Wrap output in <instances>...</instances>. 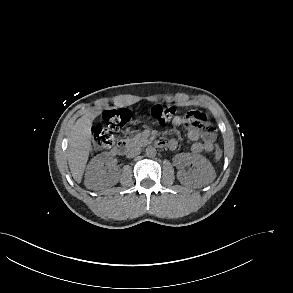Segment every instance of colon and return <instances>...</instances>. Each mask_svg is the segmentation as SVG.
Returning <instances> with one entry per match:
<instances>
[{
  "mask_svg": "<svg viewBox=\"0 0 293 293\" xmlns=\"http://www.w3.org/2000/svg\"><path fill=\"white\" fill-rule=\"evenodd\" d=\"M176 114V108L173 106L155 105L149 112L148 116L158 124H163ZM195 111L187 113L186 118L191 120L197 117ZM129 114L125 109L108 110L103 114V124L95 125L92 130L93 151H101L110 148L115 140V134L120 130L122 125L128 120ZM222 148L215 147L214 157L216 160L222 156Z\"/></svg>",
  "mask_w": 293,
  "mask_h": 293,
  "instance_id": "1",
  "label": "colon"
}]
</instances>
